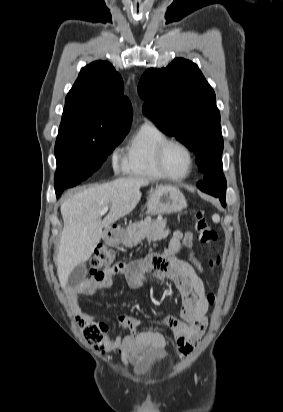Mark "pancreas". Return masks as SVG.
<instances>
[{"label": "pancreas", "mask_w": 283, "mask_h": 412, "mask_svg": "<svg viewBox=\"0 0 283 412\" xmlns=\"http://www.w3.org/2000/svg\"><path fill=\"white\" fill-rule=\"evenodd\" d=\"M170 230L166 229V220L158 218L152 220L146 218L143 221L131 224L127 227L123 235V244L132 247L140 243L145 238L160 240L169 235Z\"/></svg>", "instance_id": "cf45deb5"}]
</instances>
